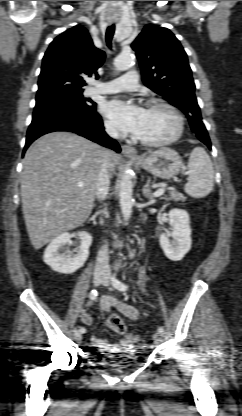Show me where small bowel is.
Masks as SVG:
<instances>
[{
	"label": "small bowel",
	"mask_w": 242,
	"mask_h": 416,
	"mask_svg": "<svg viewBox=\"0 0 242 416\" xmlns=\"http://www.w3.org/2000/svg\"><path fill=\"white\" fill-rule=\"evenodd\" d=\"M100 306L101 309L106 313H109L112 309H116L122 315L130 319H136L139 315L138 311L134 307L124 303L123 301L111 295L102 296L100 299ZM80 320L86 325H90L93 322L91 314L86 309L81 310ZM90 343L94 348L99 350H107L108 348H110V344L105 339L100 338L96 335L91 336Z\"/></svg>",
	"instance_id": "1"
}]
</instances>
